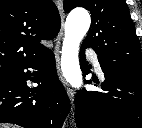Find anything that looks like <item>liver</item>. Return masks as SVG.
<instances>
[{
    "mask_svg": "<svg viewBox=\"0 0 142 128\" xmlns=\"http://www.w3.org/2000/svg\"><path fill=\"white\" fill-rule=\"evenodd\" d=\"M0 128H15L14 126H10V125H2L0 124Z\"/></svg>",
    "mask_w": 142,
    "mask_h": 128,
    "instance_id": "liver-1",
    "label": "liver"
}]
</instances>
